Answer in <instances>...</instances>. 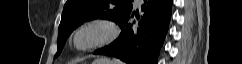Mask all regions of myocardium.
<instances>
[{"label": "myocardium", "mask_w": 242, "mask_h": 64, "mask_svg": "<svg viewBox=\"0 0 242 64\" xmlns=\"http://www.w3.org/2000/svg\"><path fill=\"white\" fill-rule=\"evenodd\" d=\"M117 25L107 19L95 18L81 23L73 31L70 42L73 48L80 52L102 48L112 43L118 36ZM93 33V37L82 43L85 34Z\"/></svg>", "instance_id": "1"}]
</instances>
